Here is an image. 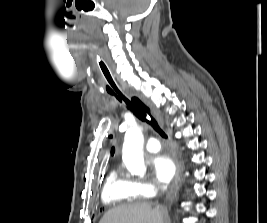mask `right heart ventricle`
<instances>
[{
	"label": "right heart ventricle",
	"mask_w": 267,
	"mask_h": 223,
	"mask_svg": "<svg viewBox=\"0 0 267 223\" xmlns=\"http://www.w3.org/2000/svg\"><path fill=\"white\" fill-rule=\"evenodd\" d=\"M137 196L133 181L121 170L113 169L105 181L102 190V201L110 206H116L131 201Z\"/></svg>",
	"instance_id": "e07e8e85"
}]
</instances>
